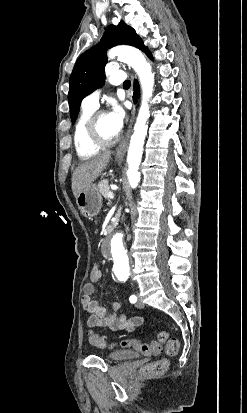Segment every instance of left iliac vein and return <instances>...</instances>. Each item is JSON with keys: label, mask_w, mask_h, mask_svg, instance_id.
I'll use <instances>...</instances> for the list:
<instances>
[{"label": "left iliac vein", "mask_w": 247, "mask_h": 413, "mask_svg": "<svg viewBox=\"0 0 247 413\" xmlns=\"http://www.w3.org/2000/svg\"><path fill=\"white\" fill-rule=\"evenodd\" d=\"M137 297H138V301L136 303V307L137 308H143V303H142V300H141L140 296L137 295Z\"/></svg>", "instance_id": "1"}]
</instances>
